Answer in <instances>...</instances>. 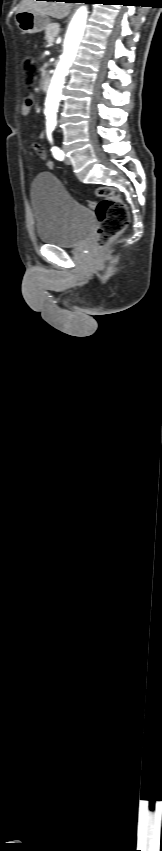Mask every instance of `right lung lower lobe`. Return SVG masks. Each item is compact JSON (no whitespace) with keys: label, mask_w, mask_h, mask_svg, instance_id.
Masks as SVG:
<instances>
[{"label":"right lung lower lobe","mask_w":162,"mask_h":851,"mask_svg":"<svg viewBox=\"0 0 162 851\" xmlns=\"http://www.w3.org/2000/svg\"><path fill=\"white\" fill-rule=\"evenodd\" d=\"M47 1H58V0H47ZM65 2H80L83 1L85 3H94V0H64Z\"/></svg>","instance_id":"obj_1"}]
</instances>
